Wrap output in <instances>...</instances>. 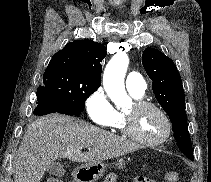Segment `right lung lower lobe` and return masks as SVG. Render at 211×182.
I'll return each instance as SVG.
<instances>
[{
    "label": "right lung lower lobe",
    "mask_w": 211,
    "mask_h": 182,
    "mask_svg": "<svg viewBox=\"0 0 211 182\" xmlns=\"http://www.w3.org/2000/svg\"><path fill=\"white\" fill-rule=\"evenodd\" d=\"M37 107L34 110V114L38 116L46 115L49 113H62L66 115H79L78 113L70 110L60 102L53 98H39L37 97Z\"/></svg>",
    "instance_id": "right-lung-lower-lobe-1"
}]
</instances>
